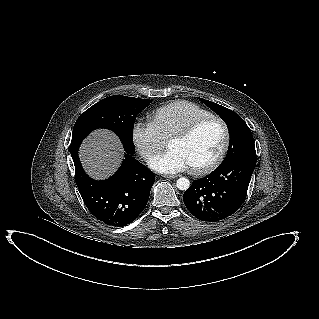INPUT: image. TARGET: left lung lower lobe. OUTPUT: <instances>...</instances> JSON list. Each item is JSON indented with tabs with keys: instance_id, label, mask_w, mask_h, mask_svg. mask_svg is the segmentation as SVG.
I'll list each match as a JSON object with an SVG mask.
<instances>
[{
	"instance_id": "left-lung-lower-lobe-1",
	"label": "left lung lower lobe",
	"mask_w": 319,
	"mask_h": 319,
	"mask_svg": "<svg viewBox=\"0 0 319 319\" xmlns=\"http://www.w3.org/2000/svg\"><path fill=\"white\" fill-rule=\"evenodd\" d=\"M256 161L236 159L219 165L204 178L193 181L183 201L193 216L208 222L223 220L244 203Z\"/></svg>"
}]
</instances>
